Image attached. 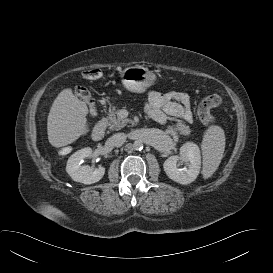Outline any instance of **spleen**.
I'll return each mask as SVG.
<instances>
[{
	"mask_svg": "<svg viewBox=\"0 0 273 273\" xmlns=\"http://www.w3.org/2000/svg\"><path fill=\"white\" fill-rule=\"evenodd\" d=\"M203 168L205 179L217 170L225 151L224 130L218 125L210 126L204 133L202 144Z\"/></svg>",
	"mask_w": 273,
	"mask_h": 273,
	"instance_id": "3e777b00",
	"label": "spleen"
}]
</instances>
